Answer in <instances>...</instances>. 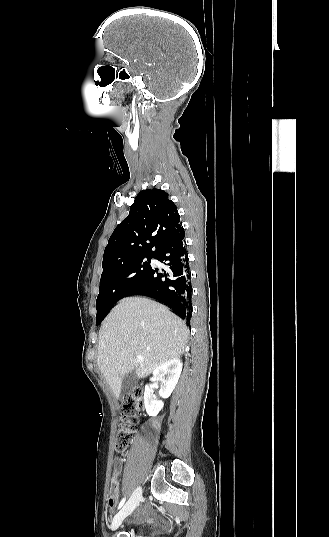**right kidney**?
<instances>
[{
	"label": "right kidney",
	"mask_w": 329,
	"mask_h": 537,
	"mask_svg": "<svg viewBox=\"0 0 329 537\" xmlns=\"http://www.w3.org/2000/svg\"><path fill=\"white\" fill-rule=\"evenodd\" d=\"M182 366L180 359H171L153 371V377L150 379L151 381H156L166 375V379H161L162 384L159 390V395L162 398H168L175 389L182 371ZM144 405L149 416H156L164 405L163 401L158 400L155 397L153 389H151L149 385L145 386Z\"/></svg>",
	"instance_id": "obj_1"
}]
</instances>
